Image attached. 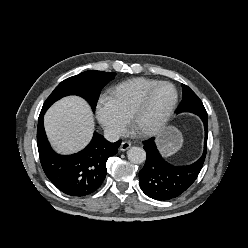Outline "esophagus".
I'll return each mask as SVG.
<instances>
[{"label": "esophagus", "instance_id": "34e87169", "mask_svg": "<svg viewBox=\"0 0 248 248\" xmlns=\"http://www.w3.org/2000/svg\"><path fill=\"white\" fill-rule=\"evenodd\" d=\"M131 147V143L129 141H123L120 146L121 151H126Z\"/></svg>", "mask_w": 248, "mask_h": 248}]
</instances>
